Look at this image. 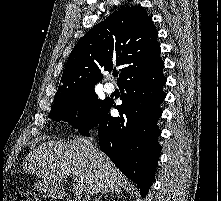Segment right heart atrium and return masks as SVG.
<instances>
[{"label": "right heart atrium", "mask_w": 221, "mask_h": 201, "mask_svg": "<svg viewBox=\"0 0 221 201\" xmlns=\"http://www.w3.org/2000/svg\"><path fill=\"white\" fill-rule=\"evenodd\" d=\"M82 112V107L81 106H77L75 107L73 113L76 115V116H79Z\"/></svg>", "instance_id": "d8ad5b80"}]
</instances>
